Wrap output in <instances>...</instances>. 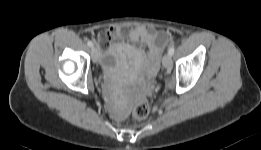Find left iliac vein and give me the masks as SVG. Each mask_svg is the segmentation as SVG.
Instances as JSON below:
<instances>
[{
	"mask_svg": "<svg viewBox=\"0 0 261 150\" xmlns=\"http://www.w3.org/2000/svg\"><path fill=\"white\" fill-rule=\"evenodd\" d=\"M162 63H163V66L166 69L170 70L172 68V65H173L171 55L165 54L163 56Z\"/></svg>",
	"mask_w": 261,
	"mask_h": 150,
	"instance_id": "4c4485c4",
	"label": "left iliac vein"
}]
</instances>
